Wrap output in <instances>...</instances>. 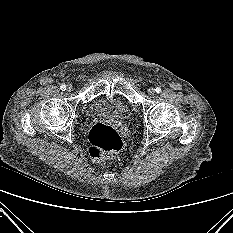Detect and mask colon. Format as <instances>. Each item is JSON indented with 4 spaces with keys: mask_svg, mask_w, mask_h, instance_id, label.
Returning <instances> with one entry per match:
<instances>
[{
    "mask_svg": "<svg viewBox=\"0 0 233 233\" xmlns=\"http://www.w3.org/2000/svg\"><path fill=\"white\" fill-rule=\"evenodd\" d=\"M89 143L90 156L97 162L115 156L123 147V140L116 129L102 122L91 128Z\"/></svg>",
    "mask_w": 233,
    "mask_h": 233,
    "instance_id": "obj_1",
    "label": "colon"
}]
</instances>
